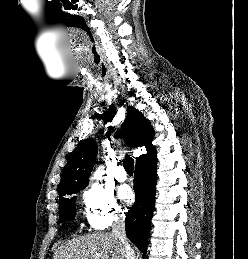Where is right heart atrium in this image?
Wrapping results in <instances>:
<instances>
[{"instance_id":"right-heart-atrium-1","label":"right heart atrium","mask_w":248,"mask_h":259,"mask_svg":"<svg viewBox=\"0 0 248 259\" xmlns=\"http://www.w3.org/2000/svg\"><path fill=\"white\" fill-rule=\"evenodd\" d=\"M83 203L86 220L93 229H105L125 216L114 193L96 183L85 188Z\"/></svg>"}]
</instances>
